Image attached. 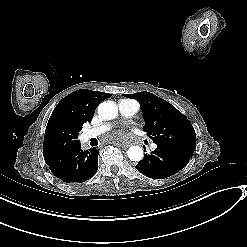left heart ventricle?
<instances>
[{"label":"left heart ventricle","instance_id":"obj_1","mask_svg":"<svg viewBox=\"0 0 247 247\" xmlns=\"http://www.w3.org/2000/svg\"><path fill=\"white\" fill-rule=\"evenodd\" d=\"M118 126L120 128H122L123 130H126V131H131V132L136 131L135 124L130 119H128V118H122L118 122Z\"/></svg>","mask_w":247,"mask_h":247}]
</instances>
